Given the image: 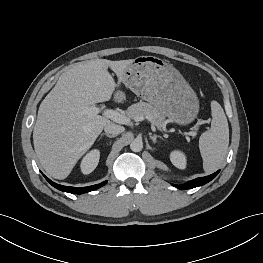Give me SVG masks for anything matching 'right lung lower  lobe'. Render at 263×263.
I'll list each match as a JSON object with an SVG mask.
<instances>
[{"label": "right lung lower lobe", "mask_w": 263, "mask_h": 263, "mask_svg": "<svg viewBox=\"0 0 263 263\" xmlns=\"http://www.w3.org/2000/svg\"><path fill=\"white\" fill-rule=\"evenodd\" d=\"M44 177L55 188H57V189H59L61 191H64V192L72 193V194H83V193H86V192H90V191L96 190V189L104 186L107 183V181H105V182H102L100 184H96V185H93V186L70 187V186H63V185L56 184L53 181H51L50 179H48L46 176H44Z\"/></svg>", "instance_id": "obj_1"}]
</instances>
